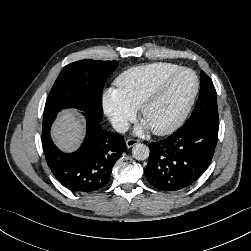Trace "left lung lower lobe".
Wrapping results in <instances>:
<instances>
[{
  "mask_svg": "<svg viewBox=\"0 0 251 251\" xmlns=\"http://www.w3.org/2000/svg\"><path fill=\"white\" fill-rule=\"evenodd\" d=\"M219 122L201 119L185 123L168 138L149 144L145 175L163 191H178L193 184L209 166L216 147Z\"/></svg>",
  "mask_w": 251,
  "mask_h": 251,
  "instance_id": "1",
  "label": "left lung lower lobe"
}]
</instances>
